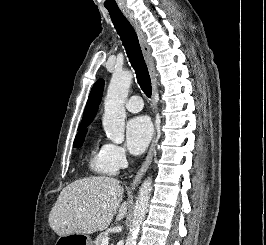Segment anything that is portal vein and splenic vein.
Here are the masks:
<instances>
[{"mask_svg":"<svg viewBox=\"0 0 266 245\" xmlns=\"http://www.w3.org/2000/svg\"><path fill=\"white\" fill-rule=\"evenodd\" d=\"M102 245H109V237H103Z\"/></svg>","mask_w":266,"mask_h":245,"instance_id":"18ae733b","label":"portal vein and splenic vein"}]
</instances>
